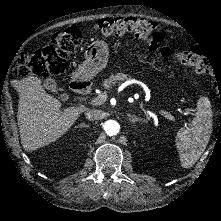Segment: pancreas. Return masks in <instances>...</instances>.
Segmentation results:
<instances>
[{
  "instance_id": "cf45deb5",
  "label": "pancreas",
  "mask_w": 221,
  "mask_h": 221,
  "mask_svg": "<svg viewBox=\"0 0 221 221\" xmlns=\"http://www.w3.org/2000/svg\"><path fill=\"white\" fill-rule=\"evenodd\" d=\"M127 80V75L123 73H117L116 75H111L109 78L103 81V87L106 90H110L116 83H121Z\"/></svg>"
}]
</instances>
